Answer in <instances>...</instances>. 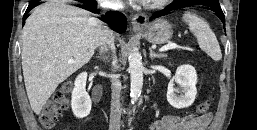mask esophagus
Instances as JSON below:
<instances>
[{
	"label": "esophagus",
	"instance_id": "obj_1",
	"mask_svg": "<svg viewBox=\"0 0 257 130\" xmlns=\"http://www.w3.org/2000/svg\"><path fill=\"white\" fill-rule=\"evenodd\" d=\"M147 17L145 14L132 15L131 21L134 28H140L145 25Z\"/></svg>",
	"mask_w": 257,
	"mask_h": 130
}]
</instances>
